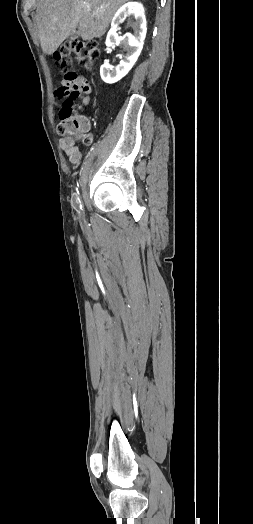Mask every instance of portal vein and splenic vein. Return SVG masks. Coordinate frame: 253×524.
Here are the masks:
<instances>
[{"label":"portal vein and splenic vein","mask_w":253,"mask_h":524,"mask_svg":"<svg viewBox=\"0 0 253 524\" xmlns=\"http://www.w3.org/2000/svg\"><path fill=\"white\" fill-rule=\"evenodd\" d=\"M85 9H86L87 11H90V6H89V5H86V6H85ZM94 14H96V15H97V14H98V12H95Z\"/></svg>","instance_id":"18ae733b"}]
</instances>
